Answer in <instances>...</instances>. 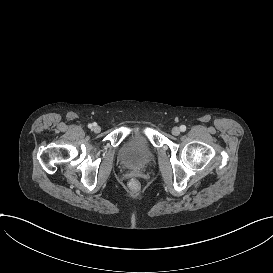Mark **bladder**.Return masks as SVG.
Returning a JSON list of instances; mask_svg holds the SVG:
<instances>
[{
	"instance_id": "obj_1",
	"label": "bladder",
	"mask_w": 273,
	"mask_h": 273,
	"mask_svg": "<svg viewBox=\"0 0 273 273\" xmlns=\"http://www.w3.org/2000/svg\"><path fill=\"white\" fill-rule=\"evenodd\" d=\"M117 158L128 169L142 170L156 157L155 148L144 135L126 137L117 148Z\"/></svg>"
}]
</instances>
